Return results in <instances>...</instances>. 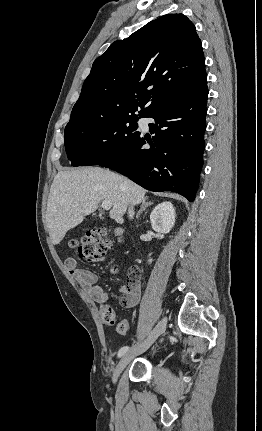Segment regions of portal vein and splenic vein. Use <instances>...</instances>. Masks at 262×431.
<instances>
[{
    "mask_svg": "<svg viewBox=\"0 0 262 431\" xmlns=\"http://www.w3.org/2000/svg\"><path fill=\"white\" fill-rule=\"evenodd\" d=\"M111 207H112V203L110 201H106V200L102 201V208L104 210H110Z\"/></svg>",
    "mask_w": 262,
    "mask_h": 431,
    "instance_id": "portal-vein-and-splenic-vein-1",
    "label": "portal vein and splenic vein"
}]
</instances>
